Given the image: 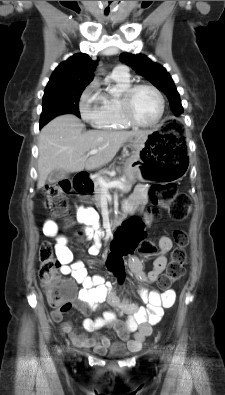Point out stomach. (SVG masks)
Returning <instances> with one entry per match:
<instances>
[{
  "mask_svg": "<svg viewBox=\"0 0 225 395\" xmlns=\"http://www.w3.org/2000/svg\"><path fill=\"white\" fill-rule=\"evenodd\" d=\"M157 131L151 132L142 141L135 138L131 141L132 156L125 164V174L128 179H138L142 182H160L179 179L184 174V163L176 156H169L159 143ZM179 157V156H178Z\"/></svg>",
  "mask_w": 225,
  "mask_h": 395,
  "instance_id": "obj_1",
  "label": "stomach"
}]
</instances>
